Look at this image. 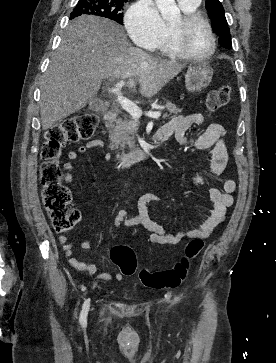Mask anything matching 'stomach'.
Here are the masks:
<instances>
[{
    "instance_id": "1",
    "label": "stomach",
    "mask_w": 276,
    "mask_h": 363,
    "mask_svg": "<svg viewBox=\"0 0 276 363\" xmlns=\"http://www.w3.org/2000/svg\"><path fill=\"white\" fill-rule=\"evenodd\" d=\"M213 70L209 65L189 66L185 74V86L191 93H198L207 88L212 80Z\"/></svg>"
}]
</instances>
